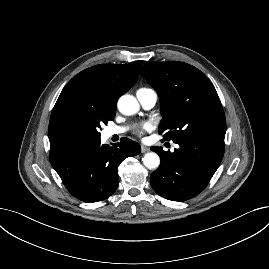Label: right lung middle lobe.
I'll return each mask as SVG.
<instances>
[{
	"label": "right lung middle lobe",
	"mask_w": 269,
	"mask_h": 269,
	"mask_svg": "<svg viewBox=\"0 0 269 269\" xmlns=\"http://www.w3.org/2000/svg\"><path fill=\"white\" fill-rule=\"evenodd\" d=\"M115 113L96 112L92 114H82L80 116V127L84 135V140L100 138V127L114 119Z\"/></svg>",
	"instance_id": "right-lung-middle-lobe-1"
}]
</instances>
